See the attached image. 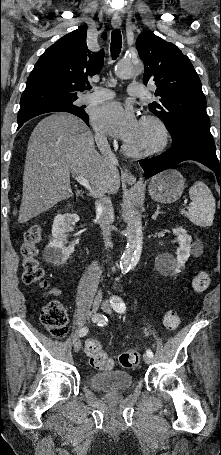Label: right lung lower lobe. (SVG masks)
I'll use <instances>...</instances> for the list:
<instances>
[{
  "instance_id": "1",
  "label": "right lung lower lobe",
  "mask_w": 221,
  "mask_h": 455,
  "mask_svg": "<svg viewBox=\"0 0 221 455\" xmlns=\"http://www.w3.org/2000/svg\"><path fill=\"white\" fill-rule=\"evenodd\" d=\"M43 113H47L46 111H39V112H32V113H29V114H26V115H23L21 117L18 118V129L26 122L28 121L29 119L35 117V116H38L40 114H43ZM82 119V118H81ZM88 126H89V122H88V117L85 118V119H82Z\"/></svg>"
}]
</instances>
